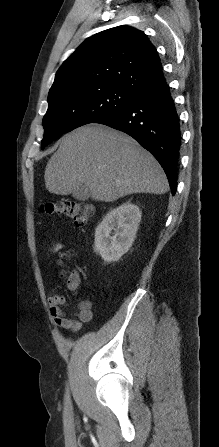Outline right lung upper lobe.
<instances>
[{
	"label": "right lung upper lobe",
	"mask_w": 219,
	"mask_h": 447,
	"mask_svg": "<svg viewBox=\"0 0 219 447\" xmlns=\"http://www.w3.org/2000/svg\"><path fill=\"white\" fill-rule=\"evenodd\" d=\"M164 83L156 48L142 31L122 25L82 43L57 71L49 94L112 85L139 97Z\"/></svg>",
	"instance_id": "1"
}]
</instances>
